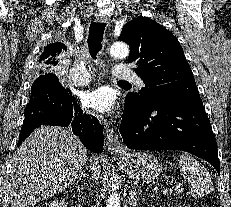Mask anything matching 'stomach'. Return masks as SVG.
<instances>
[{"label":"stomach","instance_id":"obj_1","mask_svg":"<svg viewBox=\"0 0 231 207\" xmlns=\"http://www.w3.org/2000/svg\"><path fill=\"white\" fill-rule=\"evenodd\" d=\"M121 170L139 183H151L160 177L162 164L149 153H126L117 157Z\"/></svg>","mask_w":231,"mask_h":207}]
</instances>
